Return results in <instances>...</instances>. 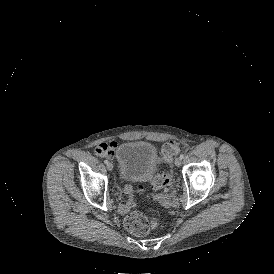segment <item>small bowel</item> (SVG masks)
Masks as SVG:
<instances>
[{"label":"small bowel","mask_w":274,"mask_h":274,"mask_svg":"<svg viewBox=\"0 0 274 274\" xmlns=\"http://www.w3.org/2000/svg\"><path fill=\"white\" fill-rule=\"evenodd\" d=\"M117 149V143L114 141H106L98 143L94 151L98 156L104 157V158H112L115 155Z\"/></svg>","instance_id":"obj_1"}]
</instances>
